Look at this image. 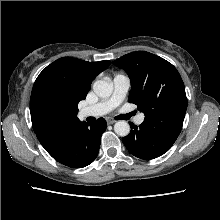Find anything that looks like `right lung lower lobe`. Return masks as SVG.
<instances>
[{
  "label": "right lung lower lobe",
  "instance_id": "right-lung-lower-lobe-1",
  "mask_svg": "<svg viewBox=\"0 0 220 220\" xmlns=\"http://www.w3.org/2000/svg\"><path fill=\"white\" fill-rule=\"evenodd\" d=\"M107 123L99 118L95 123L77 122L46 151L59 163L71 168H83L98 155L101 135Z\"/></svg>",
  "mask_w": 220,
  "mask_h": 220
}]
</instances>
